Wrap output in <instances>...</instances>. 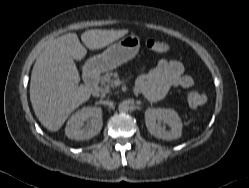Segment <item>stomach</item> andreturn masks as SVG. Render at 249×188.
<instances>
[{
    "instance_id": "stomach-1",
    "label": "stomach",
    "mask_w": 249,
    "mask_h": 188,
    "mask_svg": "<svg viewBox=\"0 0 249 188\" xmlns=\"http://www.w3.org/2000/svg\"><path fill=\"white\" fill-rule=\"evenodd\" d=\"M140 48V39L129 35L111 44L101 54L90 58L85 67L94 73L107 72L133 59Z\"/></svg>"
}]
</instances>
